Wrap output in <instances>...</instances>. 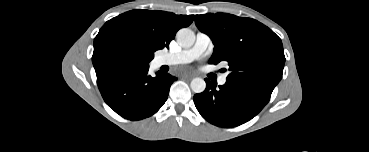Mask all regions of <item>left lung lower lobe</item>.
Masks as SVG:
<instances>
[{"label": "left lung lower lobe", "mask_w": 369, "mask_h": 152, "mask_svg": "<svg viewBox=\"0 0 369 152\" xmlns=\"http://www.w3.org/2000/svg\"><path fill=\"white\" fill-rule=\"evenodd\" d=\"M205 81V91L194 96L195 106L204 119L224 128L239 126L255 117L269 102L274 89L227 79L217 88V83Z\"/></svg>", "instance_id": "obj_1"}]
</instances>
